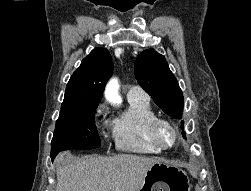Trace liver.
Here are the masks:
<instances>
[{"instance_id": "obj_1", "label": "liver", "mask_w": 251, "mask_h": 191, "mask_svg": "<svg viewBox=\"0 0 251 191\" xmlns=\"http://www.w3.org/2000/svg\"><path fill=\"white\" fill-rule=\"evenodd\" d=\"M159 157L113 155L77 159L70 151L55 157L56 191H139L148 169Z\"/></svg>"}]
</instances>
